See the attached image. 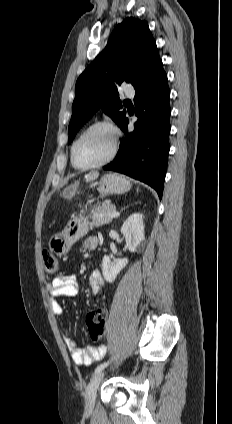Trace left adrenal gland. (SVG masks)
<instances>
[{
	"mask_svg": "<svg viewBox=\"0 0 232 424\" xmlns=\"http://www.w3.org/2000/svg\"><path fill=\"white\" fill-rule=\"evenodd\" d=\"M122 210H123V209H122ZM122 210H121V211H122ZM119 217H120V214L118 215V218H119Z\"/></svg>",
	"mask_w": 232,
	"mask_h": 424,
	"instance_id": "1",
	"label": "left adrenal gland"
}]
</instances>
